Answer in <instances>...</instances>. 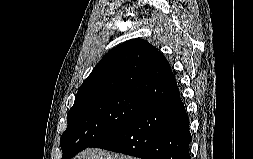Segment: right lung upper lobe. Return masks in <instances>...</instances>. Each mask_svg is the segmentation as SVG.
I'll use <instances>...</instances> for the list:
<instances>
[{
	"label": "right lung upper lobe",
	"mask_w": 253,
	"mask_h": 159,
	"mask_svg": "<svg viewBox=\"0 0 253 159\" xmlns=\"http://www.w3.org/2000/svg\"><path fill=\"white\" fill-rule=\"evenodd\" d=\"M178 92L171 67L153 45L132 39L111 49L78 89L75 101L118 94L154 104Z\"/></svg>",
	"instance_id": "right-lung-upper-lobe-1"
}]
</instances>
